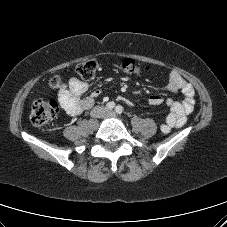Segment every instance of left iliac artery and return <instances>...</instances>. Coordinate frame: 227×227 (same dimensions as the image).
<instances>
[{"label":"left iliac artery","mask_w":227,"mask_h":227,"mask_svg":"<svg viewBox=\"0 0 227 227\" xmlns=\"http://www.w3.org/2000/svg\"><path fill=\"white\" fill-rule=\"evenodd\" d=\"M115 111H116L117 114H122V112H123V107L120 106V105H118V106H116Z\"/></svg>","instance_id":"1"}]
</instances>
